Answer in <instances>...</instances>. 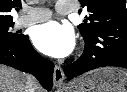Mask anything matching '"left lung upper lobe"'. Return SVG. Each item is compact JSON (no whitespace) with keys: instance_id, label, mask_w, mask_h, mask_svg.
<instances>
[{"instance_id":"5c2ea615","label":"left lung upper lobe","mask_w":127,"mask_h":92,"mask_svg":"<svg viewBox=\"0 0 127 92\" xmlns=\"http://www.w3.org/2000/svg\"><path fill=\"white\" fill-rule=\"evenodd\" d=\"M89 13L84 24L78 25L83 38L103 29L127 30L125 0H79Z\"/></svg>"}]
</instances>
